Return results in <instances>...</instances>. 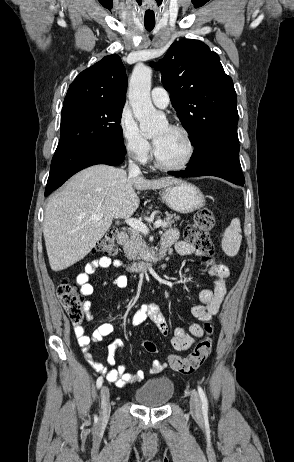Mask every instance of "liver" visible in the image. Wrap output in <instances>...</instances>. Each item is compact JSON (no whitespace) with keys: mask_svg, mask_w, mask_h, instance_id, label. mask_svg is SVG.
Returning a JSON list of instances; mask_svg holds the SVG:
<instances>
[{"mask_svg":"<svg viewBox=\"0 0 294 462\" xmlns=\"http://www.w3.org/2000/svg\"><path fill=\"white\" fill-rule=\"evenodd\" d=\"M180 180L127 176L123 169L94 165L75 174L47 203L43 235L50 267L64 270L83 259L112 225L132 216L140 204L135 190L160 189ZM103 214L98 220L91 217Z\"/></svg>","mask_w":294,"mask_h":462,"instance_id":"1","label":"liver"}]
</instances>
